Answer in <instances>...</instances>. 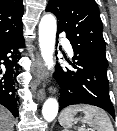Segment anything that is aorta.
<instances>
[{
    "label": "aorta",
    "instance_id": "aorta-1",
    "mask_svg": "<svg viewBox=\"0 0 117 131\" xmlns=\"http://www.w3.org/2000/svg\"><path fill=\"white\" fill-rule=\"evenodd\" d=\"M57 31V21L54 15L45 14L39 23V47L45 65L49 70L54 69L53 54L55 50V38ZM59 109L58 101L55 98H48L43 104V118L51 122L57 116Z\"/></svg>",
    "mask_w": 117,
    "mask_h": 131
}]
</instances>
